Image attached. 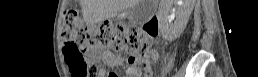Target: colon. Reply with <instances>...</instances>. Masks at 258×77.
<instances>
[{"label": "colon", "instance_id": "colon-1", "mask_svg": "<svg viewBox=\"0 0 258 77\" xmlns=\"http://www.w3.org/2000/svg\"><path fill=\"white\" fill-rule=\"evenodd\" d=\"M62 37L65 40V61L70 66L72 77H85L88 72L94 73V69L87 65L85 54L88 50L104 48L125 50L130 54L126 61L128 77L150 73L149 49L154 36L149 32L144 34L123 24L109 21L91 25L76 11L67 10Z\"/></svg>", "mask_w": 258, "mask_h": 77}]
</instances>
